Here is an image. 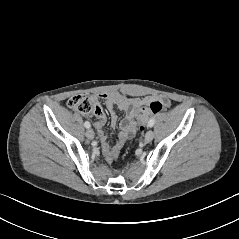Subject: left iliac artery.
Here are the masks:
<instances>
[{
	"mask_svg": "<svg viewBox=\"0 0 239 239\" xmlns=\"http://www.w3.org/2000/svg\"><path fill=\"white\" fill-rule=\"evenodd\" d=\"M154 124H155L154 118L150 119L149 122H148V126H149V127H153Z\"/></svg>",
	"mask_w": 239,
	"mask_h": 239,
	"instance_id": "44dca946",
	"label": "left iliac artery"
}]
</instances>
